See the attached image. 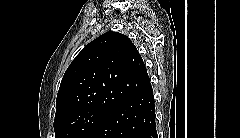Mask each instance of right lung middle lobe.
I'll use <instances>...</instances> for the list:
<instances>
[{"label": "right lung middle lobe", "instance_id": "1", "mask_svg": "<svg viewBox=\"0 0 240 138\" xmlns=\"http://www.w3.org/2000/svg\"><path fill=\"white\" fill-rule=\"evenodd\" d=\"M107 110L85 109L54 120L55 138H87Z\"/></svg>", "mask_w": 240, "mask_h": 138}]
</instances>
